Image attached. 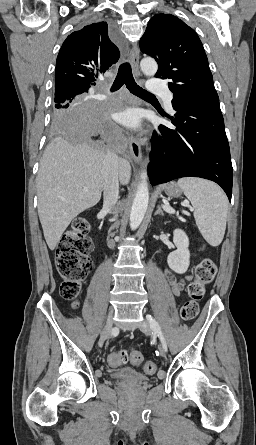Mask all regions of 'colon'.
<instances>
[{
    "label": "colon",
    "instance_id": "1",
    "mask_svg": "<svg viewBox=\"0 0 256 445\" xmlns=\"http://www.w3.org/2000/svg\"><path fill=\"white\" fill-rule=\"evenodd\" d=\"M91 240L89 237V221L80 216L74 219L69 229L62 235L56 248V269L62 279L60 294L63 298L73 301L77 305V298L81 291L82 281L92 269L89 258L91 251ZM217 272L216 264L211 257L203 258L197 265L195 279L189 284L188 300L181 308V318L190 322L198 315V303L206 293V288L215 279ZM130 358L131 362L138 365L143 360V355L137 350L130 352L119 350L109 355L108 362L117 367L125 364ZM157 366L154 361H146L143 370L152 375Z\"/></svg>",
    "mask_w": 256,
    "mask_h": 445
}]
</instances>
